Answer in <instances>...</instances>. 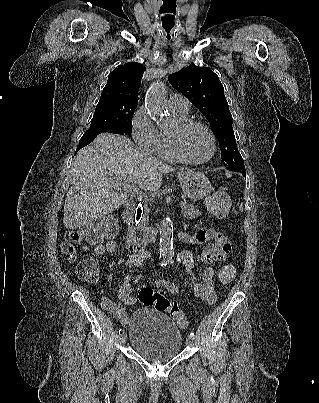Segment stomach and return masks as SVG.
Returning a JSON list of instances; mask_svg holds the SVG:
<instances>
[{
	"label": "stomach",
	"mask_w": 319,
	"mask_h": 403,
	"mask_svg": "<svg viewBox=\"0 0 319 403\" xmlns=\"http://www.w3.org/2000/svg\"><path fill=\"white\" fill-rule=\"evenodd\" d=\"M178 177L184 194L191 200H201L212 190L209 179L200 172L180 173Z\"/></svg>",
	"instance_id": "1"
}]
</instances>
